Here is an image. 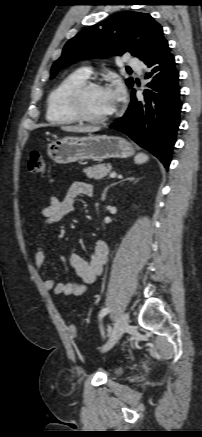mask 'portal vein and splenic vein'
<instances>
[{"mask_svg": "<svg viewBox=\"0 0 202 437\" xmlns=\"http://www.w3.org/2000/svg\"><path fill=\"white\" fill-rule=\"evenodd\" d=\"M116 175H117V174H116L115 172L110 173V177H111V178H115Z\"/></svg>", "mask_w": 202, "mask_h": 437, "instance_id": "1", "label": "portal vein and splenic vein"}]
</instances>
